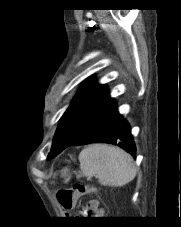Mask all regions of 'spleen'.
<instances>
[{
  "label": "spleen",
  "mask_w": 181,
  "mask_h": 227,
  "mask_svg": "<svg viewBox=\"0 0 181 227\" xmlns=\"http://www.w3.org/2000/svg\"><path fill=\"white\" fill-rule=\"evenodd\" d=\"M79 161L82 174L88 179L96 176L102 186L121 187L136 176L133 158L118 147L90 145L80 152Z\"/></svg>",
  "instance_id": "spleen-1"
}]
</instances>
